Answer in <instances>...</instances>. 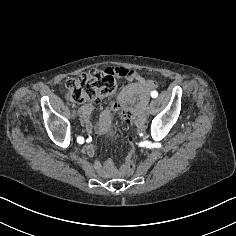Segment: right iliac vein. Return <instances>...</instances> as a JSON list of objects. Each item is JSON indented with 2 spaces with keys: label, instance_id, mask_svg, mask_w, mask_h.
<instances>
[{
  "label": "right iliac vein",
  "instance_id": "63e3f726",
  "mask_svg": "<svg viewBox=\"0 0 236 236\" xmlns=\"http://www.w3.org/2000/svg\"><path fill=\"white\" fill-rule=\"evenodd\" d=\"M80 120H81L80 125L82 126L81 128L83 129L84 128L83 126H85L87 123L84 121L82 113L80 114Z\"/></svg>",
  "mask_w": 236,
  "mask_h": 236
}]
</instances>
